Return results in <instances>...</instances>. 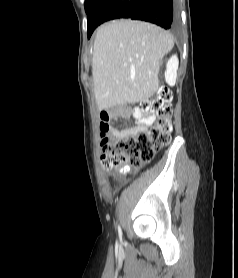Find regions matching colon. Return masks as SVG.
I'll list each match as a JSON object with an SVG mask.
<instances>
[{
	"label": "colon",
	"mask_w": 238,
	"mask_h": 278,
	"mask_svg": "<svg viewBox=\"0 0 238 278\" xmlns=\"http://www.w3.org/2000/svg\"><path fill=\"white\" fill-rule=\"evenodd\" d=\"M139 109L155 116L149 127L126 130L102 141V166L109 171L123 173L130 168H139L149 163L156 152L167 146L172 132V96L163 90L139 105ZM109 125L100 123L101 135L108 131Z\"/></svg>",
	"instance_id": "colon-1"
}]
</instances>
